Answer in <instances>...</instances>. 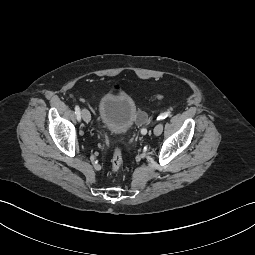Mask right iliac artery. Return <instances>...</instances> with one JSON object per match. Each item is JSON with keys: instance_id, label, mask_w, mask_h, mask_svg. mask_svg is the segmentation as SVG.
I'll use <instances>...</instances> for the list:
<instances>
[{"instance_id": "obj_1", "label": "right iliac artery", "mask_w": 255, "mask_h": 255, "mask_svg": "<svg viewBox=\"0 0 255 255\" xmlns=\"http://www.w3.org/2000/svg\"><path fill=\"white\" fill-rule=\"evenodd\" d=\"M75 114L77 116L78 121H80L81 120V111H80L79 106H77V105L75 106Z\"/></svg>"}]
</instances>
